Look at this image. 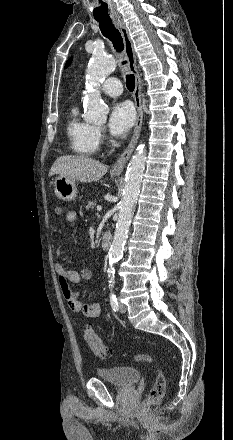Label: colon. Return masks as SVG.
Instances as JSON below:
<instances>
[{
	"instance_id": "1",
	"label": "colon",
	"mask_w": 233,
	"mask_h": 440,
	"mask_svg": "<svg viewBox=\"0 0 233 440\" xmlns=\"http://www.w3.org/2000/svg\"><path fill=\"white\" fill-rule=\"evenodd\" d=\"M54 213L56 216H60L62 214V207L60 205L55 206ZM81 330L85 342L89 345L92 352L97 358L100 359L110 358L111 356L110 350L100 339L97 332L89 324L86 323L82 324ZM136 359L144 364H150L156 366L155 381L147 397L141 404V409L144 412H150L154 410L163 399L165 393V387H166L165 376L162 368L159 366L157 360L153 356L142 353V354H137Z\"/></svg>"
}]
</instances>
